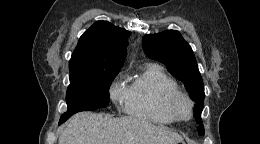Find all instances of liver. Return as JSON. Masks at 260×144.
<instances>
[{
  "label": "liver",
  "mask_w": 260,
  "mask_h": 144,
  "mask_svg": "<svg viewBox=\"0 0 260 144\" xmlns=\"http://www.w3.org/2000/svg\"><path fill=\"white\" fill-rule=\"evenodd\" d=\"M59 144H178L183 137L164 126L133 117L81 112L61 131Z\"/></svg>",
  "instance_id": "obj_1"
}]
</instances>
